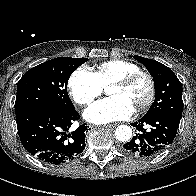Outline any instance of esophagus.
<instances>
[{
  "label": "esophagus",
  "instance_id": "obj_1",
  "mask_svg": "<svg viewBox=\"0 0 196 196\" xmlns=\"http://www.w3.org/2000/svg\"><path fill=\"white\" fill-rule=\"evenodd\" d=\"M116 124H106V125H103V127H106V128H110V127H114Z\"/></svg>",
  "mask_w": 196,
  "mask_h": 196
}]
</instances>
